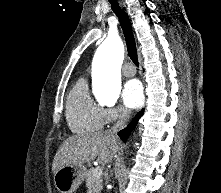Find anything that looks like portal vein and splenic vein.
Returning <instances> with one entry per match:
<instances>
[{"instance_id":"18ae733b","label":"portal vein and splenic vein","mask_w":221,"mask_h":193,"mask_svg":"<svg viewBox=\"0 0 221 193\" xmlns=\"http://www.w3.org/2000/svg\"><path fill=\"white\" fill-rule=\"evenodd\" d=\"M103 168L101 166H98L94 170V175H102Z\"/></svg>"}]
</instances>
